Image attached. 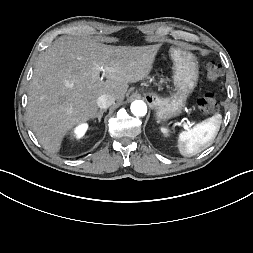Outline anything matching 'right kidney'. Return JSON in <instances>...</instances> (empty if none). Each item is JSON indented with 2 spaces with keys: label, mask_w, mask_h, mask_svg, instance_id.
I'll return each instance as SVG.
<instances>
[{
  "label": "right kidney",
  "mask_w": 253,
  "mask_h": 253,
  "mask_svg": "<svg viewBox=\"0 0 253 253\" xmlns=\"http://www.w3.org/2000/svg\"><path fill=\"white\" fill-rule=\"evenodd\" d=\"M87 127V124L79 125L75 130L76 137L81 138L85 134Z\"/></svg>",
  "instance_id": "right-kidney-1"
}]
</instances>
